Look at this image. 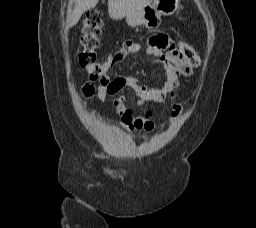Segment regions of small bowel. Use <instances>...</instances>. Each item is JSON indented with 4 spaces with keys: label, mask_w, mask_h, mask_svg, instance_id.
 Returning a JSON list of instances; mask_svg holds the SVG:
<instances>
[{
    "label": "small bowel",
    "mask_w": 256,
    "mask_h": 228,
    "mask_svg": "<svg viewBox=\"0 0 256 228\" xmlns=\"http://www.w3.org/2000/svg\"><path fill=\"white\" fill-rule=\"evenodd\" d=\"M142 50V45L125 41L120 49L111 54L103 63V74L99 79L98 97L105 101L109 96L118 94L124 88L132 89L139 97L138 105L147 102L162 101L167 97L173 100L169 109L170 119H176L182 112V107L176 102L180 89V78L188 77L192 73V66L180 54L178 45L172 43L168 35L158 33L148 40L146 53L153 57L164 72L165 81L159 87H149L141 83L136 77L125 75L111 78L108 71L127 56L135 55ZM115 106L120 116V125L129 131L152 130L155 122L151 112L136 115L125 104V97L119 96L115 100Z\"/></svg>",
    "instance_id": "c3829d8e"
}]
</instances>
